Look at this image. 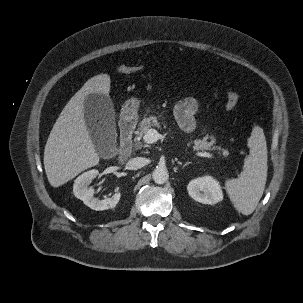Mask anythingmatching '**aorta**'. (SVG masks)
I'll use <instances>...</instances> for the list:
<instances>
[{"label": "aorta", "mask_w": 303, "mask_h": 303, "mask_svg": "<svg viewBox=\"0 0 303 303\" xmlns=\"http://www.w3.org/2000/svg\"><path fill=\"white\" fill-rule=\"evenodd\" d=\"M153 180L156 184L167 182L169 174L165 167H156L152 173Z\"/></svg>", "instance_id": "obj_1"}]
</instances>
